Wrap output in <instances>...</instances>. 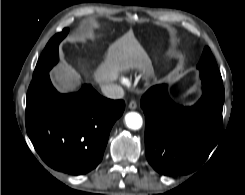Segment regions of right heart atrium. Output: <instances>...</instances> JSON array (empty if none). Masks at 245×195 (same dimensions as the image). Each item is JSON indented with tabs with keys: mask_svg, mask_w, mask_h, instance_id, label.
I'll list each match as a JSON object with an SVG mask.
<instances>
[{
	"mask_svg": "<svg viewBox=\"0 0 245 195\" xmlns=\"http://www.w3.org/2000/svg\"><path fill=\"white\" fill-rule=\"evenodd\" d=\"M122 82H123V83H125V82H126V80L123 78V79H122Z\"/></svg>",
	"mask_w": 245,
	"mask_h": 195,
	"instance_id": "d8ad5b80",
	"label": "right heart atrium"
}]
</instances>
